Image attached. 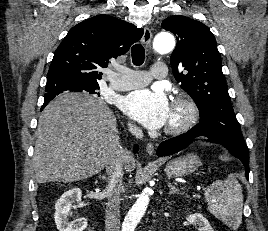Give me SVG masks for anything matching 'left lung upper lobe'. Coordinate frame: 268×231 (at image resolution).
Listing matches in <instances>:
<instances>
[{"instance_id":"1","label":"left lung upper lobe","mask_w":268,"mask_h":231,"mask_svg":"<svg viewBox=\"0 0 268 231\" xmlns=\"http://www.w3.org/2000/svg\"><path fill=\"white\" fill-rule=\"evenodd\" d=\"M162 28L177 38L170 62L174 77L195 101L200 122L191 131L248 150L234 114L216 40L203 23L175 15Z\"/></svg>"}]
</instances>
